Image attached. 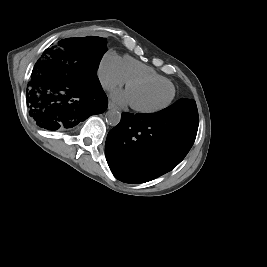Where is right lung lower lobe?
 <instances>
[{"instance_id":"1","label":"right lung lower lobe","mask_w":267,"mask_h":267,"mask_svg":"<svg viewBox=\"0 0 267 267\" xmlns=\"http://www.w3.org/2000/svg\"><path fill=\"white\" fill-rule=\"evenodd\" d=\"M36 63L27 92V106L41 128L66 130L107 109V97L96 73L63 47L46 50Z\"/></svg>"}]
</instances>
